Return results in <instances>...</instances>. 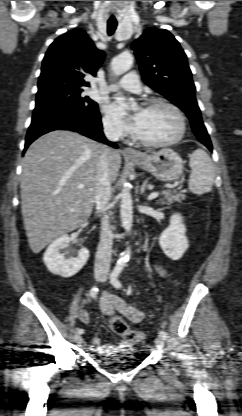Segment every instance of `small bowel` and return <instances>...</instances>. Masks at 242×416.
<instances>
[{"mask_svg": "<svg viewBox=\"0 0 242 416\" xmlns=\"http://www.w3.org/2000/svg\"><path fill=\"white\" fill-rule=\"evenodd\" d=\"M155 269L160 276H168L167 271L163 268L161 264L156 263ZM99 304L102 313L109 317L115 314H119L134 323H138L142 320L144 316L143 311L137 308L135 305L128 303L119 296L107 291L101 294ZM78 319L80 322L85 324L90 322L88 311L85 308L79 309ZM92 345L94 349L101 354L109 352L114 347V345L104 344L97 337L92 339ZM119 345L122 346L123 343H120Z\"/></svg>", "mask_w": 242, "mask_h": 416, "instance_id": "1", "label": "small bowel"}]
</instances>
